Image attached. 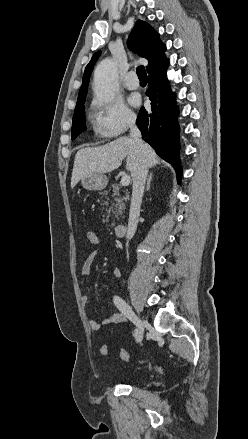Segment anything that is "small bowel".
<instances>
[{
	"mask_svg": "<svg viewBox=\"0 0 248 439\" xmlns=\"http://www.w3.org/2000/svg\"><path fill=\"white\" fill-rule=\"evenodd\" d=\"M99 254H100L99 250H94L88 254L86 259L84 260V263H83L82 269H81V273L83 276H88L90 274L92 265H93L94 261L97 259V257L99 256ZM113 275L115 277L119 278L121 276L120 270L115 269L113 271ZM87 299H88L87 296L82 297V300L84 303L87 302ZM125 321H126L125 315L122 312H116V313H113L112 315L108 316L107 318H105L101 323L96 321V320H90L89 324L93 330L98 331L101 329L102 325L119 324V323H123Z\"/></svg>",
	"mask_w": 248,
	"mask_h": 439,
	"instance_id": "small-bowel-1",
	"label": "small bowel"
}]
</instances>
